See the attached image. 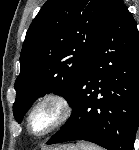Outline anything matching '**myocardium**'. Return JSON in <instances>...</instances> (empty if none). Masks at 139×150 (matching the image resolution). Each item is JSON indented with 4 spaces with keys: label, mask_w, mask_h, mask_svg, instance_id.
I'll return each mask as SVG.
<instances>
[{
    "label": "myocardium",
    "mask_w": 139,
    "mask_h": 150,
    "mask_svg": "<svg viewBox=\"0 0 139 150\" xmlns=\"http://www.w3.org/2000/svg\"><path fill=\"white\" fill-rule=\"evenodd\" d=\"M51 105L56 110V118L52 124L40 133H34L31 129V121L35 113L42 107ZM73 114V106L70 99L61 93H48L39 98L30 108L26 118V129L30 135L36 138L45 137L65 125Z\"/></svg>",
    "instance_id": "myocardium-1"
}]
</instances>
